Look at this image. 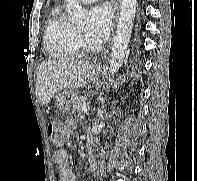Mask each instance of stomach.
Listing matches in <instances>:
<instances>
[{
	"label": "stomach",
	"mask_w": 197,
	"mask_h": 181,
	"mask_svg": "<svg viewBox=\"0 0 197 181\" xmlns=\"http://www.w3.org/2000/svg\"><path fill=\"white\" fill-rule=\"evenodd\" d=\"M95 73L96 75H103L104 71L100 68H96ZM74 97V93L70 90L58 92L55 96L57 108L63 112L70 110Z\"/></svg>",
	"instance_id": "obj_1"
}]
</instances>
